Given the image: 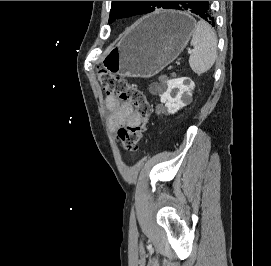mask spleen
Returning <instances> with one entry per match:
<instances>
[{"label":"spleen","instance_id":"obj_1","mask_svg":"<svg viewBox=\"0 0 271 266\" xmlns=\"http://www.w3.org/2000/svg\"><path fill=\"white\" fill-rule=\"evenodd\" d=\"M191 45L194 49L189 65L193 72L202 75L211 69L217 58V36L207 22L200 20L195 23Z\"/></svg>","mask_w":271,"mask_h":266}]
</instances>
